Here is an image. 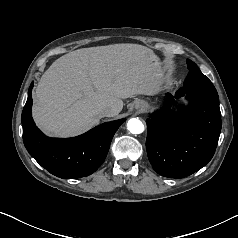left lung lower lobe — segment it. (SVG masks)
Returning a JSON list of instances; mask_svg holds the SVG:
<instances>
[{"instance_id": "0a47b994", "label": "left lung lower lobe", "mask_w": 238, "mask_h": 238, "mask_svg": "<svg viewBox=\"0 0 238 238\" xmlns=\"http://www.w3.org/2000/svg\"><path fill=\"white\" fill-rule=\"evenodd\" d=\"M190 100L177 113L169 110L174 99ZM167 105L147 119L146 149L153 169L169 178H183L205 166L213 157L221 131L218 95L180 88L167 94Z\"/></svg>"}]
</instances>
